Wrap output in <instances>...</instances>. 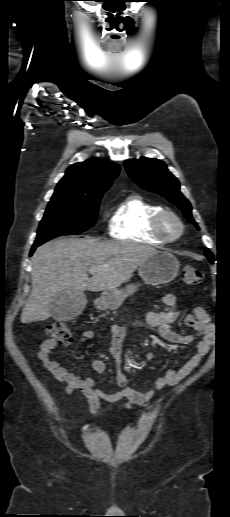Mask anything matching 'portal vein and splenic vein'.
Segmentation results:
<instances>
[{"label":"portal vein and splenic vein","instance_id":"1","mask_svg":"<svg viewBox=\"0 0 230 517\" xmlns=\"http://www.w3.org/2000/svg\"><path fill=\"white\" fill-rule=\"evenodd\" d=\"M88 271H89V273L93 274V273H95L97 271V268L96 267H90Z\"/></svg>","mask_w":230,"mask_h":517}]
</instances>
